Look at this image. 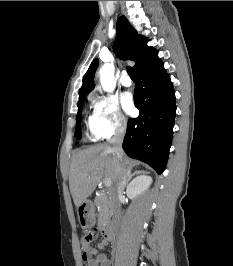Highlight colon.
<instances>
[{
  "label": "colon",
  "mask_w": 233,
  "mask_h": 266,
  "mask_svg": "<svg viewBox=\"0 0 233 266\" xmlns=\"http://www.w3.org/2000/svg\"><path fill=\"white\" fill-rule=\"evenodd\" d=\"M97 236H98V231L96 229H93L84 236L83 241L86 243H90L94 241L97 238Z\"/></svg>",
  "instance_id": "obj_1"
}]
</instances>
